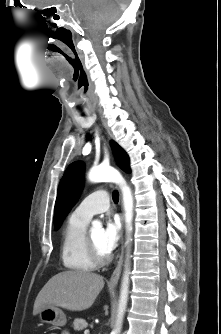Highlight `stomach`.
<instances>
[{"mask_svg": "<svg viewBox=\"0 0 221 334\" xmlns=\"http://www.w3.org/2000/svg\"><path fill=\"white\" fill-rule=\"evenodd\" d=\"M42 322L49 323L56 327H62L66 324L67 319L65 313L58 307H48L39 312Z\"/></svg>", "mask_w": 221, "mask_h": 334, "instance_id": "1", "label": "stomach"}]
</instances>
